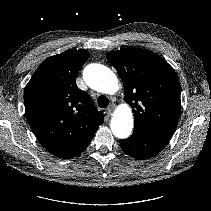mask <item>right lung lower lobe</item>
I'll list each match as a JSON object with an SVG mask.
<instances>
[{
  "label": "right lung lower lobe",
  "mask_w": 211,
  "mask_h": 211,
  "mask_svg": "<svg viewBox=\"0 0 211 211\" xmlns=\"http://www.w3.org/2000/svg\"><path fill=\"white\" fill-rule=\"evenodd\" d=\"M88 146V144L86 146H84L81 150H79L77 153H75L74 155L70 156L69 158H72L74 156H77L78 154H80L82 151L85 150V148Z\"/></svg>",
  "instance_id": "98d812e1"
}]
</instances>
